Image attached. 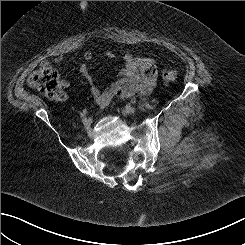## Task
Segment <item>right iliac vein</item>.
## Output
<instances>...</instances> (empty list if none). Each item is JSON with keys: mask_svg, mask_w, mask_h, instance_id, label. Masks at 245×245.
<instances>
[{"mask_svg": "<svg viewBox=\"0 0 245 245\" xmlns=\"http://www.w3.org/2000/svg\"><path fill=\"white\" fill-rule=\"evenodd\" d=\"M82 123H83V125L86 127V126H88L89 125V119L87 118V117H83L82 118Z\"/></svg>", "mask_w": 245, "mask_h": 245, "instance_id": "obj_1", "label": "right iliac vein"}]
</instances>
